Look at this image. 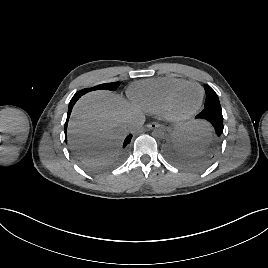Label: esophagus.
I'll return each instance as SVG.
<instances>
[{"mask_svg": "<svg viewBox=\"0 0 268 268\" xmlns=\"http://www.w3.org/2000/svg\"><path fill=\"white\" fill-rule=\"evenodd\" d=\"M161 125L157 122H151L147 125V128L150 130H153L155 128H159Z\"/></svg>", "mask_w": 268, "mask_h": 268, "instance_id": "esophagus-1", "label": "esophagus"}]
</instances>
